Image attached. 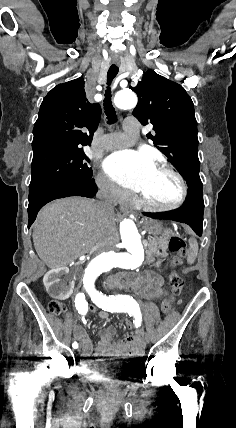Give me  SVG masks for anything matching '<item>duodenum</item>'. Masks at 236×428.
<instances>
[{"instance_id": "obj_1", "label": "duodenum", "mask_w": 236, "mask_h": 428, "mask_svg": "<svg viewBox=\"0 0 236 428\" xmlns=\"http://www.w3.org/2000/svg\"><path fill=\"white\" fill-rule=\"evenodd\" d=\"M140 277L135 273H122L110 277L106 282V286L109 290L118 293L121 290L134 287Z\"/></svg>"}]
</instances>
